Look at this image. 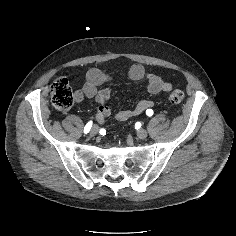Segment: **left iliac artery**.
<instances>
[{
    "label": "left iliac artery",
    "mask_w": 236,
    "mask_h": 236,
    "mask_svg": "<svg viewBox=\"0 0 236 236\" xmlns=\"http://www.w3.org/2000/svg\"><path fill=\"white\" fill-rule=\"evenodd\" d=\"M146 114H147L148 116H152V115H153V110H152V109H148V110L146 111Z\"/></svg>",
    "instance_id": "44dca946"
}]
</instances>
